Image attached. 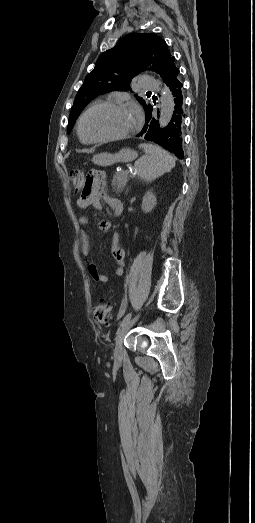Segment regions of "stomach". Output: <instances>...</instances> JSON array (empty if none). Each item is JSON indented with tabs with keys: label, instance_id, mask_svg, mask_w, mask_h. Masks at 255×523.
Returning a JSON list of instances; mask_svg holds the SVG:
<instances>
[{
	"label": "stomach",
	"instance_id": "1",
	"mask_svg": "<svg viewBox=\"0 0 255 523\" xmlns=\"http://www.w3.org/2000/svg\"><path fill=\"white\" fill-rule=\"evenodd\" d=\"M135 158L133 150H121L119 154H116L114 151H100L94 154V159L92 163L96 167L103 166L104 162H131Z\"/></svg>",
	"mask_w": 255,
	"mask_h": 523
}]
</instances>
